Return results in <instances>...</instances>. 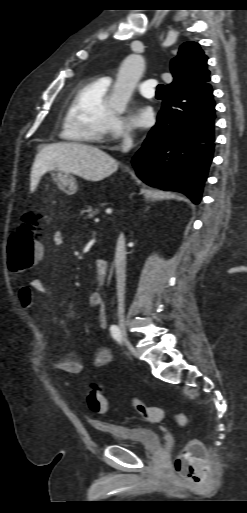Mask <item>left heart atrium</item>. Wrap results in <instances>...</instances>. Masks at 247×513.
Returning <instances> with one entry per match:
<instances>
[{
  "label": "left heart atrium",
  "instance_id": "left-heart-atrium-1",
  "mask_svg": "<svg viewBox=\"0 0 247 513\" xmlns=\"http://www.w3.org/2000/svg\"><path fill=\"white\" fill-rule=\"evenodd\" d=\"M133 119L136 125L141 127H149L153 124L155 114L149 106H138L134 110Z\"/></svg>",
  "mask_w": 247,
  "mask_h": 513
}]
</instances>
